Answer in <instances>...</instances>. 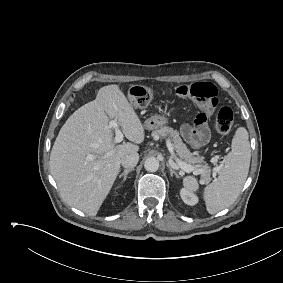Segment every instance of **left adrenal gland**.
<instances>
[{
	"instance_id": "left-adrenal-gland-1",
	"label": "left adrenal gland",
	"mask_w": 283,
	"mask_h": 283,
	"mask_svg": "<svg viewBox=\"0 0 283 283\" xmlns=\"http://www.w3.org/2000/svg\"><path fill=\"white\" fill-rule=\"evenodd\" d=\"M167 167L169 168V170H170V175H171V177H173V175H175L177 178H180V176L177 174V172L176 171H174L173 169H172V167L167 163Z\"/></svg>"
}]
</instances>
